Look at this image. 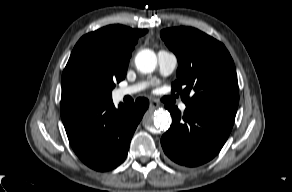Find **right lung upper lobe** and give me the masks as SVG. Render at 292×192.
<instances>
[{"mask_svg":"<svg viewBox=\"0 0 292 192\" xmlns=\"http://www.w3.org/2000/svg\"><path fill=\"white\" fill-rule=\"evenodd\" d=\"M145 33L146 29L109 25L84 35L73 50L88 53L104 67L126 76L131 52Z\"/></svg>","mask_w":292,"mask_h":192,"instance_id":"right-lung-upper-lobe-1","label":"right lung upper lobe"}]
</instances>
